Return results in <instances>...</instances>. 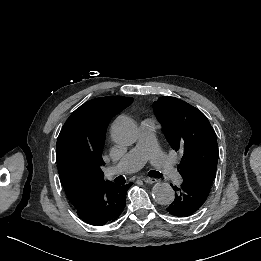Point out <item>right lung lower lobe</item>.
Instances as JSON below:
<instances>
[{
  "mask_svg": "<svg viewBox=\"0 0 261 261\" xmlns=\"http://www.w3.org/2000/svg\"><path fill=\"white\" fill-rule=\"evenodd\" d=\"M132 185H118L108 181L97 186L87 197L73 206L79 218L95 226L115 221L126 204V191Z\"/></svg>",
  "mask_w": 261,
  "mask_h": 261,
  "instance_id": "98d812e1",
  "label": "right lung lower lobe"
}]
</instances>
